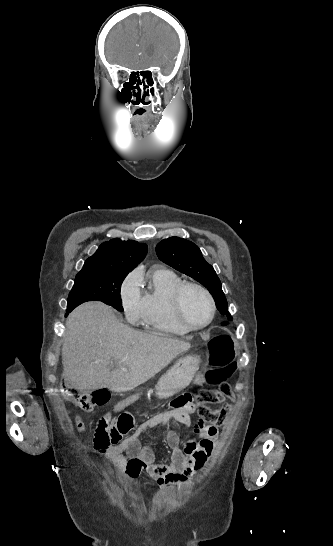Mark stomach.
Returning <instances> with one entry per match:
<instances>
[{
	"instance_id": "0dacf381",
	"label": "stomach",
	"mask_w": 333,
	"mask_h": 546,
	"mask_svg": "<svg viewBox=\"0 0 333 546\" xmlns=\"http://www.w3.org/2000/svg\"><path fill=\"white\" fill-rule=\"evenodd\" d=\"M201 360L196 355H187L180 358L161 378L155 386L159 398H168L192 381L194 370H198Z\"/></svg>"
}]
</instances>
